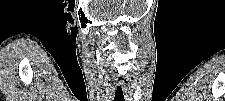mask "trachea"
Masks as SVG:
<instances>
[{"instance_id": "3493384b", "label": "trachea", "mask_w": 225, "mask_h": 101, "mask_svg": "<svg viewBox=\"0 0 225 101\" xmlns=\"http://www.w3.org/2000/svg\"><path fill=\"white\" fill-rule=\"evenodd\" d=\"M114 101H125L123 91H122V87H120V86L117 87L115 97H114Z\"/></svg>"}]
</instances>
